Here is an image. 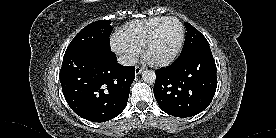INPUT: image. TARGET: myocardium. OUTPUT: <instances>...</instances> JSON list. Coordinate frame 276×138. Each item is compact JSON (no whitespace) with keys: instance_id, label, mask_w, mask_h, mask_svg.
<instances>
[{"instance_id":"myocardium-1","label":"myocardium","mask_w":276,"mask_h":138,"mask_svg":"<svg viewBox=\"0 0 276 138\" xmlns=\"http://www.w3.org/2000/svg\"><path fill=\"white\" fill-rule=\"evenodd\" d=\"M170 20L176 21L180 26L181 35H180L179 42H178L175 50L173 51V53L170 56H168L167 58H164V59L153 60L149 57V51L152 48V46L156 40V37H157V34H158L160 28L163 26L164 23H166L167 21H170ZM184 42H185V27H184L183 23L176 17H173V16L165 17L162 21H160L154 27L149 38L147 39V41L143 47V51H142L143 57L148 63H150L153 66H158V67L159 66H167L177 58V56L181 52Z\"/></svg>"}]
</instances>
